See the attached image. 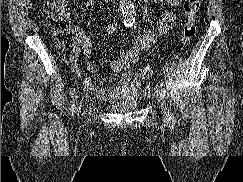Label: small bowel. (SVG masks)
I'll list each match as a JSON object with an SVG mask.
<instances>
[{
  "mask_svg": "<svg viewBox=\"0 0 243 182\" xmlns=\"http://www.w3.org/2000/svg\"><path fill=\"white\" fill-rule=\"evenodd\" d=\"M162 1L163 0H153L154 3H160ZM165 2L171 7H178L182 0H165ZM93 5V1L88 0L85 4V9L91 10ZM175 19L176 16L172 11H166L158 21V32L160 34L168 33L174 24ZM116 29L117 24L112 23L108 25L107 32L109 34H113ZM156 39V32L149 29L145 30L141 35L133 39L128 48L120 52L118 58L111 62L112 71L121 74L119 86L114 89L98 87L94 79L90 76L83 78L82 70L80 69L75 58L68 60V64L73 73L78 78L82 79V85L85 90L93 92L100 100L112 103L119 99L136 95L140 91V80L138 78H132L131 67L133 64L139 61L141 53L148 50ZM91 50L92 48L89 38L84 34H80L77 42V51L83 54L84 66L86 70L89 73L94 74L95 67L89 60Z\"/></svg>",
  "mask_w": 243,
  "mask_h": 182,
  "instance_id": "obj_1",
  "label": "small bowel"
}]
</instances>
